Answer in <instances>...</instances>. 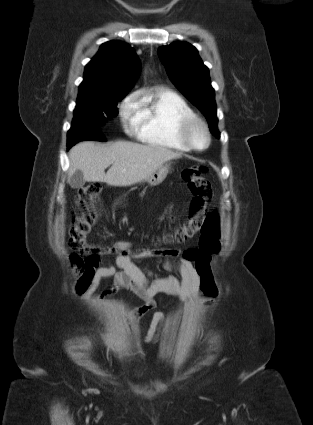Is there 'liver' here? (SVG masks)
<instances>
[{"instance_id": "liver-1", "label": "liver", "mask_w": 313, "mask_h": 425, "mask_svg": "<svg viewBox=\"0 0 313 425\" xmlns=\"http://www.w3.org/2000/svg\"><path fill=\"white\" fill-rule=\"evenodd\" d=\"M176 158H181V154L160 146L126 141L105 146L85 141L75 145L69 152L68 181L79 170L87 182L130 186L146 179L162 164Z\"/></svg>"}]
</instances>
